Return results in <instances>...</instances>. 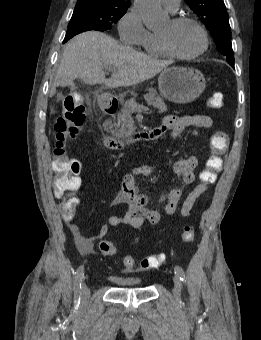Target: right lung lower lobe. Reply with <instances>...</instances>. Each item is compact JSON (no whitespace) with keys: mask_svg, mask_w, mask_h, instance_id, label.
<instances>
[{"mask_svg":"<svg viewBox=\"0 0 261 340\" xmlns=\"http://www.w3.org/2000/svg\"><path fill=\"white\" fill-rule=\"evenodd\" d=\"M92 29L89 28H84V27H74V28H70L67 30L65 38L63 43L67 42L70 38H72L73 36L81 33V32H85V31H89Z\"/></svg>","mask_w":261,"mask_h":340,"instance_id":"98d812e1","label":"right lung lower lobe"}]
</instances>
